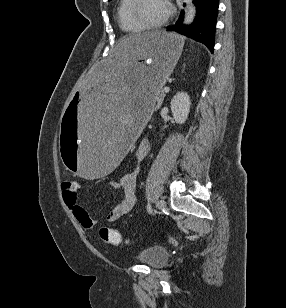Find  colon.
I'll return each instance as SVG.
<instances>
[{
    "mask_svg": "<svg viewBox=\"0 0 286 308\" xmlns=\"http://www.w3.org/2000/svg\"><path fill=\"white\" fill-rule=\"evenodd\" d=\"M62 188L67 195L77 194L79 183L75 180H67L63 182ZM100 237L102 240L111 245L130 244L129 240H124L122 235L112 228L102 227L100 229Z\"/></svg>",
    "mask_w": 286,
    "mask_h": 308,
    "instance_id": "colon-1",
    "label": "colon"
}]
</instances>
